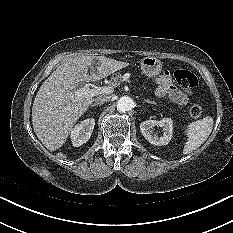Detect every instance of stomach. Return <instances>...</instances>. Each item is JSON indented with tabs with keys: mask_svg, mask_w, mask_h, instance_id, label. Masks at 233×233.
Listing matches in <instances>:
<instances>
[{
	"mask_svg": "<svg viewBox=\"0 0 233 233\" xmlns=\"http://www.w3.org/2000/svg\"><path fill=\"white\" fill-rule=\"evenodd\" d=\"M141 70L145 76L152 78L160 74L162 64L156 57H145L141 60Z\"/></svg>",
	"mask_w": 233,
	"mask_h": 233,
	"instance_id": "obj_1",
	"label": "stomach"
}]
</instances>
